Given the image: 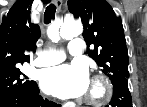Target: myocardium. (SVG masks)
<instances>
[{"mask_svg": "<svg viewBox=\"0 0 147 107\" xmlns=\"http://www.w3.org/2000/svg\"><path fill=\"white\" fill-rule=\"evenodd\" d=\"M112 94V86L104 77H95L91 82L87 102L90 104H102L108 101Z\"/></svg>", "mask_w": 147, "mask_h": 107, "instance_id": "1", "label": "myocardium"}]
</instances>
